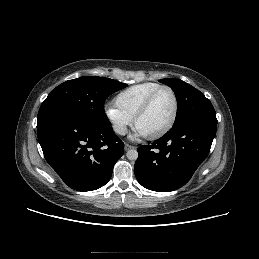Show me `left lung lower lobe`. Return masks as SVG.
<instances>
[{"label":"left lung lower lobe","instance_id":"left-lung-lower-lobe-1","mask_svg":"<svg viewBox=\"0 0 259 259\" xmlns=\"http://www.w3.org/2000/svg\"><path fill=\"white\" fill-rule=\"evenodd\" d=\"M217 122L191 119L173 127L152 145L138 148L134 173L145 188L169 192L185 185L209 154Z\"/></svg>","mask_w":259,"mask_h":259}]
</instances>
